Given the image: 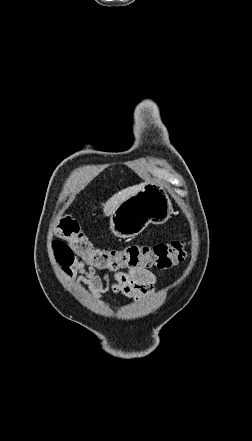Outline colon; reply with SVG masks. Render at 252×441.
Wrapping results in <instances>:
<instances>
[{"mask_svg":"<svg viewBox=\"0 0 252 441\" xmlns=\"http://www.w3.org/2000/svg\"><path fill=\"white\" fill-rule=\"evenodd\" d=\"M58 236L60 239L53 242L52 249L58 262L65 269H68L75 256L80 257L96 270L109 272L152 266L167 269L182 262L186 257L183 239L154 246L130 245L119 250L97 248L79 229L77 222L70 217L61 220Z\"/></svg>","mask_w":252,"mask_h":441,"instance_id":"1","label":"colon"}]
</instances>
